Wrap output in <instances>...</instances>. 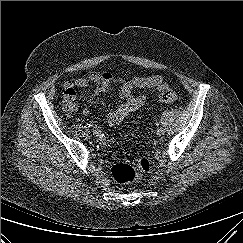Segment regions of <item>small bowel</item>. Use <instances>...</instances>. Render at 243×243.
Segmentation results:
<instances>
[{"label":"small bowel","instance_id":"small-bowel-1","mask_svg":"<svg viewBox=\"0 0 243 243\" xmlns=\"http://www.w3.org/2000/svg\"><path fill=\"white\" fill-rule=\"evenodd\" d=\"M113 83L120 85L119 95L122 101L114 110L107 114L106 120L110 126L118 125L146 103V96L144 94L136 95L134 93L135 90L153 92L168 88L164 78L160 75L125 78L123 76H114L109 72H91L86 77H79L65 83V99L70 104L73 111L76 109V88H85L94 85L95 96L98 97ZM82 113L85 116H89L91 110L86 107L82 110ZM94 134L101 144L108 143L101 129H95Z\"/></svg>","mask_w":243,"mask_h":243}]
</instances>
